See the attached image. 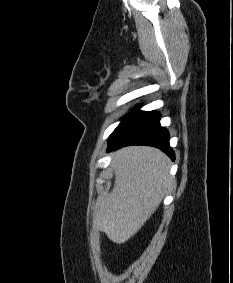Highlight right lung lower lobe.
<instances>
[{
    "instance_id": "right-lung-lower-lobe-1",
    "label": "right lung lower lobe",
    "mask_w": 233,
    "mask_h": 283,
    "mask_svg": "<svg viewBox=\"0 0 233 283\" xmlns=\"http://www.w3.org/2000/svg\"><path fill=\"white\" fill-rule=\"evenodd\" d=\"M138 109V106L135 107L110 135L107 151L128 145H149L161 149L174 160L175 154L169 145V133L160 126V114Z\"/></svg>"
}]
</instances>
